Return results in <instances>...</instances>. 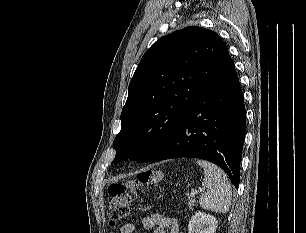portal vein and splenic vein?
Instances as JSON below:
<instances>
[{
    "label": "portal vein and splenic vein",
    "mask_w": 306,
    "mask_h": 233,
    "mask_svg": "<svg viewBox=\"0 0 306 233\" xmlns=\"http://www.w3.org/2000/svg\"><path fill=\"white\" fill-rule=\"evenodd\" d=\"M199 192H202V190H200V191H197V190H193L192 192H191V194H190V196H195L196 194H198Z\"/></svg>",
    "instance_id": "1"
}]
</instances>
